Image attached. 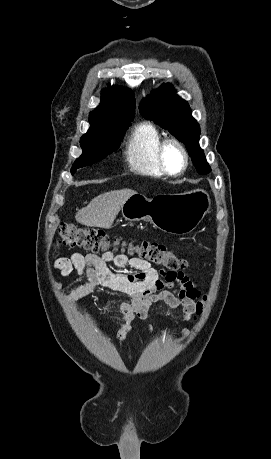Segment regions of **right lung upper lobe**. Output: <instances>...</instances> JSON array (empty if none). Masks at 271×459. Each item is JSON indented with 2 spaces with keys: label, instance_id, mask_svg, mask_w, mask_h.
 <instances>
[{
  "label": "right lung upper lobe",
  "instance_id": "right-lung-upper-lobe-1",
  "mask_svg": "<svg viewBox=\"0 0 271 459\" xmlns=\"http://www.w3.org/2000/svg\"><path fill=\"white\" fill-rule=\"evenodd\" d=\"M135 113L134 94L124 87L108 86L101 95V103L90 113L89 121L132 120Z\"/></svg>",
  "mask_w": 271,
  "mask_h": 459
}]
</instances>
